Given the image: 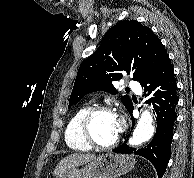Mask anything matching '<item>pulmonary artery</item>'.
<instances>
[{
    "label": "pulmonary artery",
    "mask_w": 194,
    "mask_h": 178,
    "mask_svg": "<svg viewBox=\"0 0 194 178\" xmlns=\"http://www.w3.org/2000/svg\"><path fill=\"white\" fill-rule=\"evenodd\" d=\"M128 85L137 93H141V89L136 81L130 80Z\"/></svg>",
    "instance_id": "obj_1"
}]
</instances>
